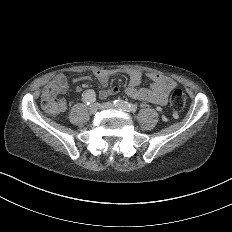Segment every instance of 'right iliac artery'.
Returning a JSON list of instances; mask_svg holds the SVG:
<instances>
[{
  "label": "right iliac artery",
  "instance_id": "obj_1",
  "mask_svg": "<svg viewBox=\"0 0 232 232\" xmlns=\"http://www.w3.org/2000/svg\"><path fill=\"white\" fill-rule=\"evenodd\" d=\"M96 100V93L94 90H86L82 93V101L89 104Z\"/></svg>",
  "mask_w": 232,
  "mask_h": 232
}]
</instances>
